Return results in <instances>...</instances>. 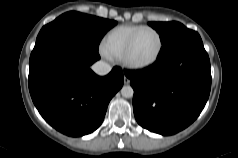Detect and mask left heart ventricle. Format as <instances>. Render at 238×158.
Here are the masks:
<instances>
[{"label":"left heart ventricle","instance_id":"b2bd125f","mask_svg":"<svg viewBox=\"0 0 238 158\" xmlns=\"http://www.w3.org/2000/svg\"><path fill=\"white\" fill-rule=\"evenodd\" d=\"M159 40L153 31L142 32L133 47L130 60L134 63H145L154 58L158 51Z\"/></svg>","mask_w":238,"mask_h":158}]
</instances>
